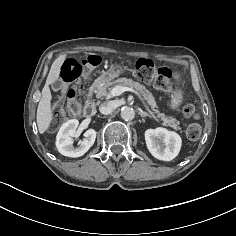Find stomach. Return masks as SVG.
Returning <instances> with one entry per match:
<instances>
[{
	"label": "stomach",
	"instance_id": "obj_1",
	"mask_svg": "<svg viewBox=\"0 0 236 236\" xmlns=\"http://www.w3.org/2000/svg\"><path fill=\"white\" fill-rule=\"evenodd\" d=\"M125 68L120 64H114L112 65L108 70L101 72V78L103 80H111L118 76H120L122 73H124ZM182 103V95L180 92H176L170 101L169 107L172 110H176Z\"/></svg>",
	"mask_w": 236,
	"mask_h": 236
}]
</instances>
